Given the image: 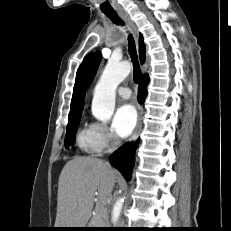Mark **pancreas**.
Masks as SVG:
<instances>
[{
  "instance_id": "pancreas-1",
  "label": "pancreas",
  "mask_w": 231,
  "mask_h": 231,
  "mask_svg": "<svg viewBox=\"0 0 231 231\" xmlns=\"http://www.w3.org/2000/svg\"><path fill=\"white\" fill-rule=\"evenodd\" d=\"M99 207L100 208L96 210V215L92 218V220L95 226L104 228L108 225V213L103 205Z\"/></svg>"
}]
</instances>
